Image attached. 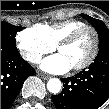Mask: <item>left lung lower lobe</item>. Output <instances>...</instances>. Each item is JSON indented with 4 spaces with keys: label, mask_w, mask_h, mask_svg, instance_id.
I'll return each instance as SVG.
<instances>
[{
    "label": "left lung lower lobe",
    "mask_w": 109,
    "mask_h": 109,
    "mask_svg": "<svg viewBox=\"0 0 109 109\" xmlns=\"http://www.w3.org/2000/svg\"><path fill=\"white\" fill-rule=\"evenodd\" d=\"M63 90L52 96L57 109H98L109 99V49L73 77L62 79Z\"/></svg>",
    "instance_id": "1"
}]
</instances>
